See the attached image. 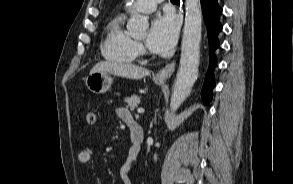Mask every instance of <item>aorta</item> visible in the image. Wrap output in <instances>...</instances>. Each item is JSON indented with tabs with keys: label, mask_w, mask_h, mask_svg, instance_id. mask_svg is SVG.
Wrapping results in <instances>:
<instances>
[{
	"label": "aorta",
	"mask_w": 293,
	"mask_h": 184,
	"mask_svg": "<svg viewBox=\"0 0 293 184\" xmlns=\"http://www.w3.org/2000/svg\"><path fill=\"white\" fill-rule=\"evenodd\" d=\"M186 17L183 29L180 66L174 82L170 108L175 112L190 95L198 77L200 61V41L202 31V13L200 0H186ZM149 27L145 16L134 14L127 23L131 34H143Z\"/></svg>",
	"instance_id": "1"
}]
</instances>
